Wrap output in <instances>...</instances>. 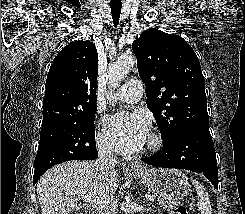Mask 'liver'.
<instances>
[{
    "label": "liver",
    "instance_id": "1",
    "mask_svg": "<svg viewBox=\"0 0 245 214\" xmlns=\"http://www.w3.org/2000/svg\"><path fill=\"white\" fill-rule=\"evenodd\" d=\"M116 170H101L94 162L70 161L54 166L39 179L42 214H70L82 195L111 197L118 188Z\"/></svg>",
    "mask_w": 245,
    "mask_h": 214
}]
</instances>
